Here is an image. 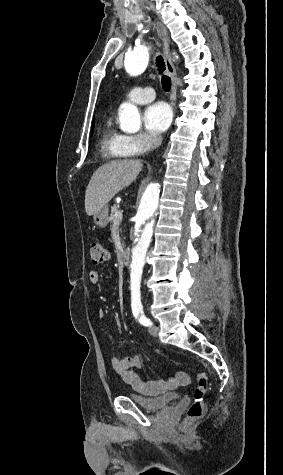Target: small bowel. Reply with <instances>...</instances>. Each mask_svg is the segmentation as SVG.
Returning a JSON list of instances; mask_svg holds the SVG:
<instances>
[{
  "instance_id": "c3829d8e",
  "label": "small bowel",
  "mask_w": 283,
  "mask_h": 475,
  "mask_svg": "<svg viewBox=\"0 0 283 475\" xmlns=\"http://www.w3.org/2000/svg\"><path fill=\"white\" fill-rule=\"evenodd\" d=\"M89 279L91 283L97 284L100 282L101 279V273L94 269L89 272ZM98 317L100 319H104L106 317V311L104 309H99L98 310ZM141 358L137 355H131L127 356L125 358H118V357H113L111 359V366L113 370L118 373L123 381L130 386H132L134 389H141L145 386L146 381L141 379L139 374L137 373L136 369L140 368L141 366ZM185 374L180 373L176 377L172 378V381L176 384H188L184 383L181 378H184ZM154 383L156 385H163L165 383V378L163 376H156L154 378Z\"/></svg>"
}]
</instances>
